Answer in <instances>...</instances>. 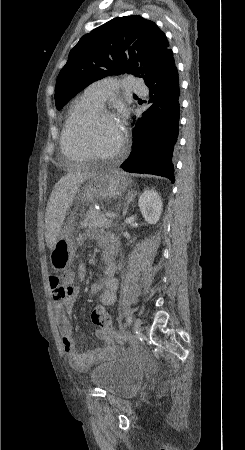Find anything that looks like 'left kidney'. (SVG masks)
I'll return each instance as SVG.
<instances>
[{
    "label": "left kidney",
    "instance_id": "obj_1",
    "mask_svg": "<svg viewBox=\"0 0 245 450\" xmlns=\"http://www.w3.org/2000/svg\"><path fill=\"white\" fill-rule=\"evenodd\" d=\"M138 206L144 219L150 223L155 224L162 213V201L156 191L145 190L139 197Z\"/></svg>",
    "mask_w": 245,
    "mask_h": 450
}]
</instances>
